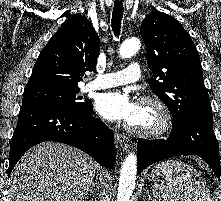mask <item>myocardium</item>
Returning a JSON list of instances; mask_svg holds the SVG:
<instances>
[{
    "mask_svg": "<svg viewBox=\"0 0 221 201\" xmlns=\"http://www.w3.org/2000/svg\"><path fill=\"white\" fill-rule=\"evenodd\" d=\"M139 107H147L153 110L156 122L151 127H137L131 123L126 124V129L140 136H161L172 127V116L166 104L154 96H143L138 100Z\"/></svg>",
    "mask_w": 221,
    "mask_h": 201,
    "instance_id": "myocardium-1",
    "label": "myocardium"
}]
</instances>
